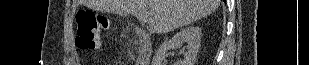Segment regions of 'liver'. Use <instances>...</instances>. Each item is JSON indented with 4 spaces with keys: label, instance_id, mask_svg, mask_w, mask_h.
<instances>
[{
    "label": "liver",
    "instance_id": "liver-1",
    "mask_svg": "<svg viewBox=\"0 0 309 65\" xmlns=\"http://www.w3.org/2000/svg\"><path fill=\"white\" fill-rule=\"evenodd\" d=\"M97 11L131 14L149 24L156 33H166L212 14L220 0H83Z\"/></svg>",
    "mask_w": 309,
    "mask_h": 65
}]
</instances>
